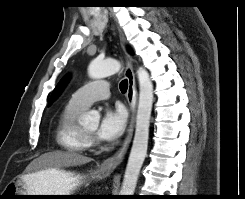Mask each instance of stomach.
<instances>
[{"mask_svg":"<svg viewBox=\"0 0 245 199\" xmlns=\"http://www.w3.org/2000/svg\"><path fill=\"white\" fill-rule=\"evenodd\" d=\"M107 176L108 173L102 171L86 175L70 170L50 168L10 182L5 191L9 188L8 194L15 199H31V197L15 195H73L74 190L85 184L88 179Z\"/></svg>","mask_w":245,"mask_h":199,"instance_id":"0dacf381","label":"stomach"}]
</instances>
